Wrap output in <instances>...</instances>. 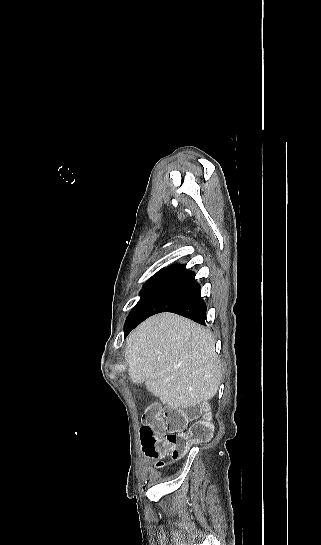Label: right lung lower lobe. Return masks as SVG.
I'll return each mask as SVG.
<instances>
[{
  "instance_id": "right-lung-lower-lobe-1",
  "label": "right lung lower lobe",
  "mask_w": 321,
  "mask_h": 545,
  "mask_svg": "<svg viewBox=\"0 0 321 545\" xmlns=\"http://www.w3.org/2000/svg\"><path fill=\"white\" fill-rule=\"evenodd\" d=\"M206 309L195 273L183 267L163 283L135 319L125 323L124 332L127 335L142 321L159 312H173L204 325Z\"/></svg>"
}]
</instances>
